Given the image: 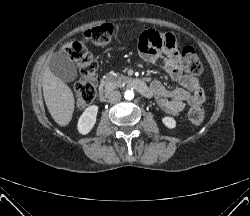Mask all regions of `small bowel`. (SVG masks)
Listing matches in <instances>:
<instances>
[{
  "mask_svg": "<svg viewBox=\"0 0 250 216\" xmlns=\"http://www.w3.org/2000/svg\"><path fill=\"white\" fill-rule=\"evenodd\" d=\"M139 50L146 61L160 63L169 76L181 84L180 88L169 90L159 81L151 83V94L164 112L176 116L187 107L204 101L198 78L186 74L179 64L176 41L171 33L154 30L144 32L140 36ZM163 52L166 56H163Z\"/></svg>",
  "mask_w": 250,
  "mask_h": 216,
  "instance_id": "c3829d8e",
  "label": "small bowel"
}]
</instances>
